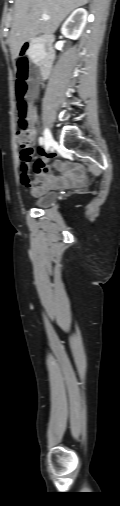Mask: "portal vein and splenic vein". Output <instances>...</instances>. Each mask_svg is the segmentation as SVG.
Instances as JSON below:
<instances>
[{"label":"portal vein and splenic vein","instance_id":"18ae733b","mask_svg":"<svg viewBox=\"0 0 120 506\" xmlns=\"http://www.w3.org/2000/svg\"><path fill=\"white\" fill-rule=\"evenodd\" d=\"M49 19H50V17L48 15H46V14L42 15V20L46 21V20H49Z\"/></svg>","mask_w":120,"mask_h":506}]
</instances>
